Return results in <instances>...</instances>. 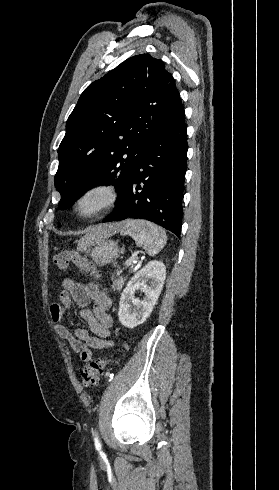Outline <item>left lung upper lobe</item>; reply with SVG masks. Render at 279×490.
Instances as JSON below:
<instances>
[{"label":"left lung upper lobe","mask_w":279,"mask_h":490,"mask_svg":"<svg viewBox=\"0 0 279 490\" xmlns=\"http://www.w3.org/2000/svg\"><path fill=\"white\" fill-rule=\"evenodd\" d=\"M181 102L172 75L149 54L131 57L81 94L58 149V208L113 184L119 200L153 130Z\"/></svg>","instance_id":"left-lung-upper-lobe-1"}]
</instances>
